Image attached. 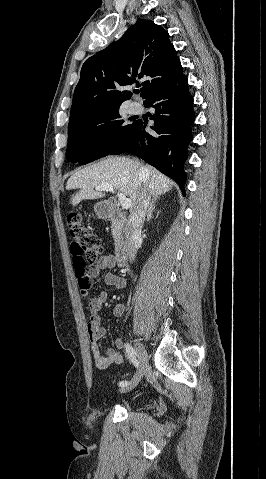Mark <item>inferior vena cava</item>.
I'll return each instance as SVG.
<instances>
[{
    "instance_id": "obj_1",
    "label": "inferior vena cava",
    "mask_w": 266,
    "mask_h": 479,
    "mask_svg": "<svg viewBox=\"0 0 266 479\" xmlns=\"http://www.w3.org/2000/svg\"><path fill=\"white\" fill-rule=\"evenodd\" d=\"M149 203V188L147 184L143 183L137 201L130 211V217L125 227V243L130 262L135 260L138 245L141 241V230Z\"/></svg>"
}]
</instances>
